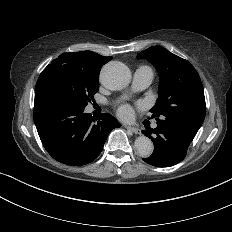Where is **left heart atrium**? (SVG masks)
<instances>
[{
	"mask_svg": "<svg viewBox=\"0 0 232 232\" xmlns=\"http://www.w3.org/2000/svg\"><path fill=\"white\" fill-rule=\"evenodd\" d=\"M118 114L123 118H128L132 115V109L127 105L121 106L118 109Z\"/></svg>",
	"mask_w": 232,
	"mask_h": 232,
	"instance_id": "1",
	"label": "left heart atrium"
}]
</instances>
